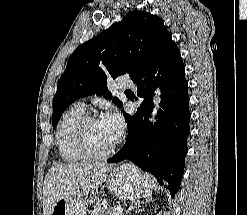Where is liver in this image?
<instances>
[{
	"label": "liver",
	"instance_id": "obj_1",
	"mask_svg": "<svg viewBox=\"0 0 247 215\" xmlns=\"http://www.w3.org/2000/svg\"><path fill=\"white\" fill-rule=\"evenodd\" d=\"M112 168V164L104 162L53 164L44 180V215H51L54 205L63 197H83L97 191Z\"/></svg>",
	"mask_w": 247,
	"mask_h": 215
}]
</instances>
